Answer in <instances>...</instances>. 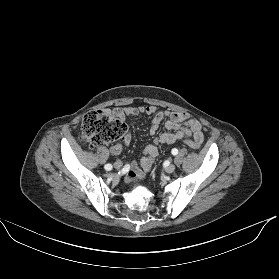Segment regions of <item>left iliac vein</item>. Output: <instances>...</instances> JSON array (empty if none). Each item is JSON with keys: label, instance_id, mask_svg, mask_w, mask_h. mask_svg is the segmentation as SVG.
Masks as SVG:
<instances>
[{"label": "left iliac vein", "instance_id": "left-iliac-vein-1", "mask_svg": "<svg viewBox=\"0 0 279 279\" xmlns=\"http://www.w3.org/2000/svg\"><path fill=\"white\" fill-rule=\"evenodd\" d=\"M175 165L174 164H170V165H168L166 168H165V171L167 172V173H173L174 171H175Z\"/></svg>", "mask_w": 279, "mask_h": 279}]
</instances>
